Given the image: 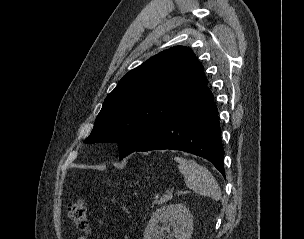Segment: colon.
<instances>
[{"label":"colon","instance_id":"obj_1","mask_svg":"<svg viewBox=\"0 0 304 239\" xmlns=\"http://www.w3.org/2000/svg\"><path fill=\"white\" fill-rule=\"evenodd\" d=\"M68 217L73 222L75 227L88 234L90 232V221L88 217V210L83 199H79L70 203L67 209Z\"/></svg>","mask_w":304,"mask_h":239}]
</instances>
